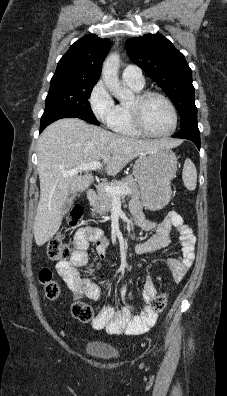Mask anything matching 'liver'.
Masks as SVG:
<instances>
[{"instance_id":"liver-1","label":"liver","mask_w":227,"mask_h":396,"mask_svg":"<svg viewBox=\"0 0 227 396\" xmlns=\"http://www.w3.org/2000/svg\"><path fill=\"white\" fill-rule=\"evenodd\" d=\"M174 140H140L113 134L78 118H64L49 125L38 140L40 200L33 233L38 246L45 244L59 230L61 209L72 192L84 191L91 174L63 177L81 164L102 161L105 173L115 176L131 160L154 148H174Z\"/></svg>"}]
</instances>
